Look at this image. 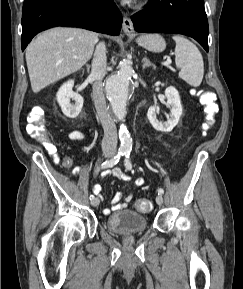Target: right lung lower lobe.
<instances>
[{
  "label": "right lung lower lobe",
  "instance_id": "right-lung-lower-lobe-1",
  "mask_svg": "<svg viewBox=\"0 0 243 289\" xmlns=\"http://www.w3.org/2000/svg\"><path fill=\"white\" fill-rule=\"evenodd\" d=\"M122 17L113 0H24L22 50L39 32L56 27H80L118 35Z\"/></svg>",
  "mask_w": 243,
  "mask_h": 289
}]
</instances>
